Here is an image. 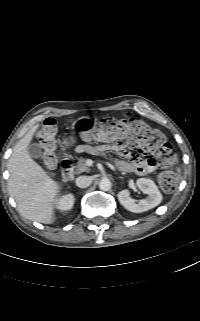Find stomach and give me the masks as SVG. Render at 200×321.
I'll use <instances>...</instances> for the list:
<instances>
[{
    "instance_id": "0dacf381",
    "label": "stomach",
    "mask_w": 200,
    "mask_h": 321,
    "mask_svg": "<svg viewBox=\"0 0 200 321\" xmlns=\"http://www.w3.org/2000/svg\"><path fill=\"white\" fill-rule=\"evenodd\" d=\"M96 122L89 117H80L75 120L72 127L78 131H87L95 126ZM66 142L73 143V139H67Z\"/></svg>"
}]
</instances>
